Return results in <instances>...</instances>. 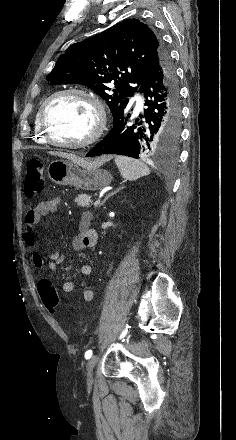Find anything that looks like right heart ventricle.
I'll return each mask as SVG.
<instances>
[{"label": "right heart ventricle", "mask_w": 236, "mask_h": 440, "mask_svg": "<svg viewBox=\"0 0 236 440\" xmlns=\"http://www.w3.org/2000/svg\"><path fill=\"white\" fill-rule=\"evenodd\" d=\"M40 108L37 110L36 115H35V120H34L35 140L38 143L46 144L47 141H46V139H45V137H44V135L42 133V130L40 128V125H39V112H40Z\"/></svg>", "instance_id": "1"}]
</instances>
